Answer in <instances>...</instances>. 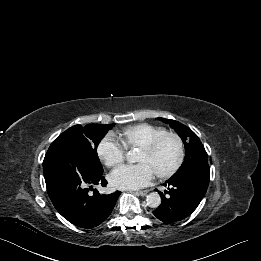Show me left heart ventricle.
Here are the masks:
<instances>
[{
  "label": "left heart ventricle",
  "instance_id": "1",
  "mask_svg": "<svg viewBox=\"0 0 261 261\" xmlns=\"http://www.w3.org/2000/svg\"><path fill=\"white\" fill-rule=\"evenodd\" d=\"M178 156L177 141L168 137L165 138L153 153H143L138 151L136 161L149 166L155 174L169 169L176 161Z\"/></svg>",
  "mask_w": 261,
  "mask_h": 261
}]
</instances>
